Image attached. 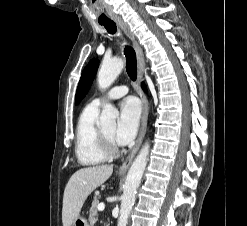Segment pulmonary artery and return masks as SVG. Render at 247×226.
Returning a JSON list of instances; mask_svg holds the SVG:
<instances>
[{
  "label": "pulmonary artery",
  "instance_id": "1",
  "mask_svg": "<svg viewBox=\"0 0 247 226\" xmlns=\"http://www.w3.org/2000/svg\"><path fill=\"white\" fill-rule=\"evenodd\" d=\"M128 90L129 89L126 85L114 86L106 93L104 97H97L93 99L90 105L93 107L99 108L104 99L114 100V99L121 98L128 93Z\"/></svg>",
  "mask_w": 247,
  "mask_h": 226
}]
</instances>
